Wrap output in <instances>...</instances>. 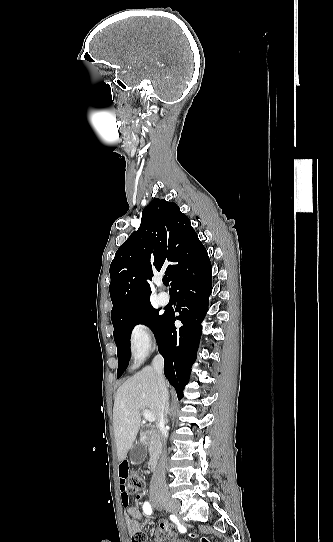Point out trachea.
I'll return each mask as SVG.
<instances>
[{
	"mask_svg": "<svg viewBox=\"0 0 333 542\" xmlns=\"http://www.w3.org/2000/svg\"><path fill=\"white\" fill-rule=\"evenodd\" d=\"M163 283L164 285L168 286L169 285V280L167 278L163 279Z\"/></svg>",
	"mask_w": 333,
	"mask_h": 542,
	"instance_id": "obj_1",
	"label": "trachea"
}]
</instances>
